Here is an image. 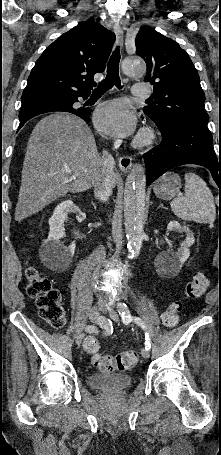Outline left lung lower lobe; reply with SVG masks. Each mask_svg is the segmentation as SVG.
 <instances>
[{
	"label": "left lung lower lobe",
	"mask_w": 221,
	"mask_h": 455,
	"mask_svg": "<svg viewBox=\"0 0 221 455\" xmlns=\"http://www.w3.org/2000/svg\"><path fill=\"white\" fill-rule=\"evenodd\" d=\"M160 131L161 144L144 154L147 185L174 167L198 164L211 171L221 189V156L214 151L207 126L184 122L169 131Z\"/></svg>",
	"instance_id": "obj_1"
}]
</instances>
